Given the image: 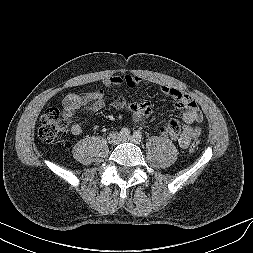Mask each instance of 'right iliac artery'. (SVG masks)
Returning <instances> with one entry per match:
<instances>
[{
	"label": "right iliac artery",
	"instance_id": "right-iliac-artery-1",
	"mask_svg": "<svg viewBox=\"0 0 253 253\" xmlns=\"http://www.w3.org/2000/svg\"><path fill=\"white\" fill-rule=\"evenodd\" d=\"M130 130L128 128H122L120 131V135L123 137L129 136Z\"/></svg>",
	"mask_w": 253,
	"mask_h": 253
}]
</instances>
